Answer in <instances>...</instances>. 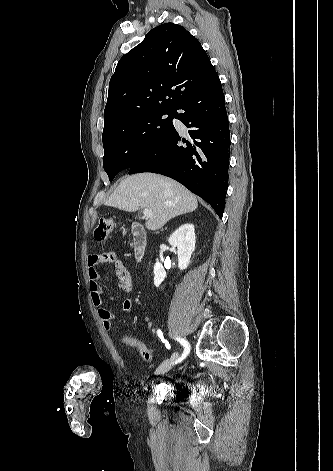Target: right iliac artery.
<instances>
[{
    "label": "right iliac artery",
    "mask_w": 333,
    "mask_h": 471,
    "mask_svg": "<svg viewBox=\"0 0 333 471\" xmlns=\"http://www.w3.org/2000/svg\"><path fill=\"white\" fill-rule=\"evenodd\" d=\"M177 341L180 342V344L184 347V352L182 354V356L176 360V361H173L171 364H176V363H179L181 362L183 359L186 358V356L189 354L190 352V344L188 343L187 340L183 339V338H180V337H176L175 338Z\"/></svg>",
    "instance_id": "obj_1"
}]
</instances>
